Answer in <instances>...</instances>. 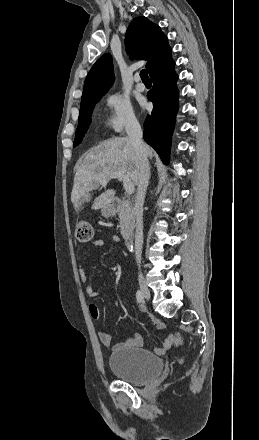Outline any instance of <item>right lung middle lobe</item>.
I'll return each instance as SVG.
<instances>
[{
    "instance_id": "dd1d6c3e",
    "label": "right lung middle lobe",
    "mask_w": 259,
    "mask_h": 440,
    "mask_svg": "<svg viewBox=\"0 0 259 440\" xmlns=\"http://www.w3.org/2000/svg\"><path fill=\"white\" fill-rule=\"evenodd\" d=\"M99 100L100 98L89 102L81 103L80 114L78 118V127L76 130L73 147L77 146L82 141L84 134L86 133L88 126L91 122V113L93 111V108Z\"/></svg>"
}]
</instances>
